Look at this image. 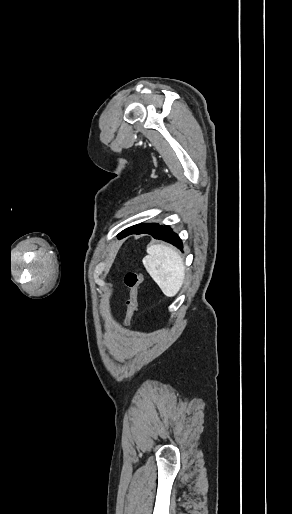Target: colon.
Returning a JSON list of instances; mask_svg holds the SVG:
<instances>
[{
  "mask_svg": "<svg viewBox=\"0 0 292 514\" xmlns=\"http://www.w3.org/2000/svg\"><path fill=\"white\" fill-rule=\"evenodd\" d=\"M142 279L143 277L140 271H128L125 276V285L129 292V296L126 300L127 310L124 317L125 326H128L134 317L137 306L138 290Z\"/></svg>",
  "mask_w": 292,
  "mask_h": 514,
  "instance_id": "colon-1",
  "label": "colon"
}]
</instances>
